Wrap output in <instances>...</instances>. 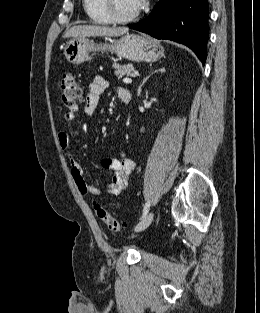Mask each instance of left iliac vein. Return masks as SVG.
Masks as SVG:
<instances>
[{"instance_id":"4c4485c4","label":"left iliac vein","mask_w":260,"mask_h":313,"mask_svg":"<svg viewBox=\"0 0 260 313\" xmlns=\"http://www.w3.org/2000/svg\"><path fill=\"white\" fill-rule=\"evenodd\" d=\"M154 217V213L150 212L147 214L136 226H135V231L140 232L146 229L152 222Z\"/></svg>"}]
</instances>
